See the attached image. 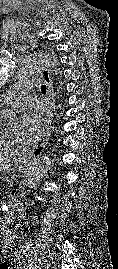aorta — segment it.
I'll list each match as a JSON object with an SVG mask.
<instances>
[{"instance_id":"obj_1","label":"aorta","mask_w":118,"mask_h":269,"mask_svg":"<svg viewBox=\"0 0 118 269\" xmlns=\"http://www.w3.org/2000/svg\"><path fill=\"white\" fill-rule=\"evenodd\" d=\"M56 64L55 58L46 52H36L24 58L20 65L19 78L30 76L42 68ZM0 118L3 127L7 129L16 128L21 122V113L9 107L0 109ZM52 160L44 156L35 161L26 171V181L30 182L42 178L51 168Z\"/></svg>"}]
</instances>
